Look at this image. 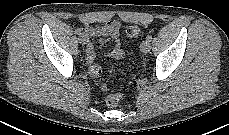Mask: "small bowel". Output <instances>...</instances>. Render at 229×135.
I'll return each mask as SVG.
<instances>
[{"label":"small bowel","mask_w":229,"mask_h":135,"mask_svg":"<svg viewBox=\"0 0 229 135\" xmlns=\"http://www.w3.org/2000/svg\"><path fill=\"white\" fill-rule=\"evenodd\" d=\"M103 31L108 33L109 35H111L113 38L115 37L116 35V27L114 24L112 23H108L105 25V27L103 28ZM119 48V43L118 42H115V45H114V53L115 51Z\"/></svg>","instance_id":"small-bowel-1"}]
</instances>
